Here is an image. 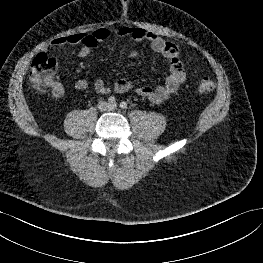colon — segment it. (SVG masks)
<instances>
[{"mask_svg":"<svg viewBox=\"0 0 263 263\" xmlns=\"http://www.w3.org/2000/svg\"><path fill=\"white\" fill-rule=\"evenodd\" d=\"M57 72V63L44 53L38 54L31 64L28 82L32 89L42 91L54 82ZM215 89L214 81L203 77L198 81L197 90L201 94H209Z\"/></svg>","mask_w":263,"mask_h":263,"instance_id":"1","label":"colon"}]
</instances>
